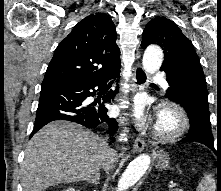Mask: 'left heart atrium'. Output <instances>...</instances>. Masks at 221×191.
<instances>
[{"instance_id":"39dd6f15","label":"left heart atrium","mask_w":221,"mask_h":191,"mask_svg":"<svg viewBox=\"0 0 221 191\" xmlns=\"http://www.w3.org/2000/svg\"><path fill=\"white\" fill-rule=\"evenodd\" d=\"M131 115L138 126H145L150 122V118L144 112L143 102L139 99L134 100Z\"/></svg>"}]
</instances>
